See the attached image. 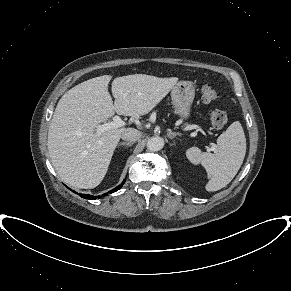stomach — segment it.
I'll use <instances>...</instances> for the list:
<instances>
[{
  "label": "stomach",
  "instance_id": "0dacf381",
  "mask_svg": "<svg viewBox=\"0 0 291 291\" xmlns=\"http://www.w3.org/2000/svg\"><path fill=\"white\" fill-rule=\"evenodd\" d=\"M194 97L195 89L189 81H180L171 89V98L175 112L182 119L186 120L189 118Z\"/></svg>",
  "mask_w": 291,
  "mask_h": 291
}]
</instances>
